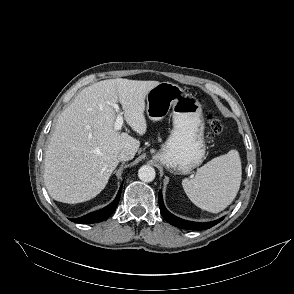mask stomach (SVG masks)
I'll use <instances>...</instances> for the list:
<instances>
[{
	"mask_svg": "<svg viewBox=\"0 0 294 294\" xmlns=\"http://www.w3.org/2000/svg\"><path fill=\"white\" fill-rule=\"evenodd\" d=\"M149 119L159 121L171 110L173 129L154 159L174 174H188L204 160V119L198 100L181 87L161 82L146 95Z\"/></svg>",
	"mask_w": 294,
	"mask_h": 294,
	"instance_id": "obj_1",
	"label": "stomach"
}]
</instances>
